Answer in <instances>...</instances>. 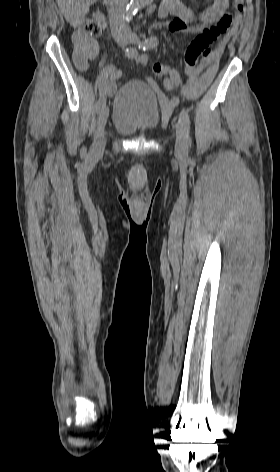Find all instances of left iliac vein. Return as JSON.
I'll return each instance as SVG.
<instances>
[{"label":"left iliac vein","mask_w":280,"mask_h":472,"mask_svg":"<svg viewBox=\"0 0 280 472\" xmlns=\"http://www.w3.org/2000/svg\"><path fill=\"white\" fill-rule=\"evenodd\" d=\"M127 40L130 43H139V38L135 33H130L127 36ZM175 149L179 153H185L188 149V139L185 133V129L181 123L176 124V143Z\"/></svg>","instance_id":"4c4485c4"}]
</instances>
